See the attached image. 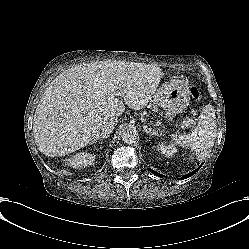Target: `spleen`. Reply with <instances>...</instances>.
I'll list each match as a JSON object with an SVG mask.
<instances>
[{"label": "spleen", "instance_id": "spleen-1", "mask_svg": "<svg viewBox=\"0 0 249 249\" xmlns=\"http://www.w3.org/2000/svg\"><path fill=\"white\" fill-rule=\"evenodd\" d=\"M216 124L211 116L202 114L198 126L187 135H172V140L180 146L191 148L199 160L206 157L214 143Z\"/></svg>", "mask_w": 249, "mask_h": 249}]
</instances>
